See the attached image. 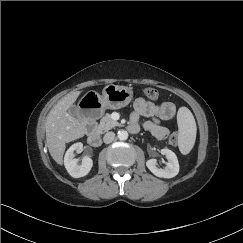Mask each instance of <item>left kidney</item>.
I'll list each match as a JSON object with an SVG mask.
<instances>
[{
  "instance_id": "5707ae66",
  "label": "left kidney",
  "mask_w": 243,
  "mask_h": 243,
  "mask_svg": "<svg viewBox=\"0 0 243 243\" xmlns=\"http://www.w3.org/2000/svg\"><path fill=\"white\" fill-rule=\"evenodd\" d=\"M162 155H165L167 158L166 167L164 169L158 168L156 166L157 160L156 159H149L146 162L147 168L157 177L161 178H173L179 173V163L176 154L167 149L160 150Z\"/></svg>"
}]
</instances>
